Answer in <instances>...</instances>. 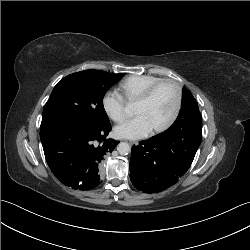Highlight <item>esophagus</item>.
<instances>
[{
	"label": "esophagus",
	"mask_w": 250,
	"mask_h": 250,
	"mask_svg": "<svg viewBox=\"0 0 250 250\" xmlns=\"http://www.w3.org/2000/svg\"><path fill=\"white\" fill-rule=\"evenodd\" d=\"M129 144H130V145H136V144H137V142L130 141V142H129Z\"/></svg>",
	"instance_id": "esophagus-1"
}]
</instances>
